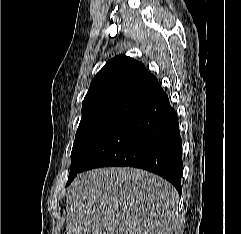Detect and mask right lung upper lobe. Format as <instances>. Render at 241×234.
<instances>
[{
	"mask_svg": "<svg viewBox=\"0 0 241 234\" xmlns=\"http://www.w3.org/2000/svg\"><path fill=\"white\" fill-rule=\"evenodd\" d=\"M159 88L156 77L141 62L119 55L109 60L92 80L82 109L114 102L139 104Z\"/></svg>",
	"mask_w": 241,
	"mask_h": 234,
	"instance_id": "obj_1",
	"label": "right lung upper lobe"
}]
</instances>
